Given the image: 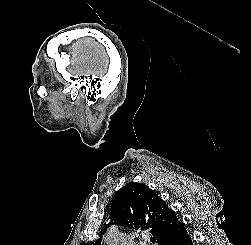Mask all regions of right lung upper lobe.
<instances>
[{"label":"right lung upper lobe","instance_id":"right-lung-upper-lobe-1","mask_svg":"<svg viewBox=\"0 0 251 245\" xmlns=\"http://www.w3.org/2000/svg\"><path fill=\"white\" fill-rule=\"evenodd\" d=\"M110 222L105 224L96 241L81 245H101L102 236L113 223L128 228L148 229L163 245L184 228L175 212L148 186L131 182L115 195L110 212Z\"/></svg>","mask_w":251,"mask_h":245}]
</instances>
